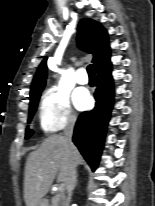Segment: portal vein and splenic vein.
<instances>
[{
	"instance_id": "18ae733b",
	"label": "portal vein and splenic vein",
	"mask_w": 155,
	"mask_h": 206,
	"mask_svg": "<svg viewBox=\"0 0 155 206\" xmlns=\"http://www.w3.org/2000/svg\"><path fill=\"white\" fill-rule=\"evenodd\" d=\"M64 187V185H61L60 188L62 189Z\"/></svg>"
}]
</instances>
